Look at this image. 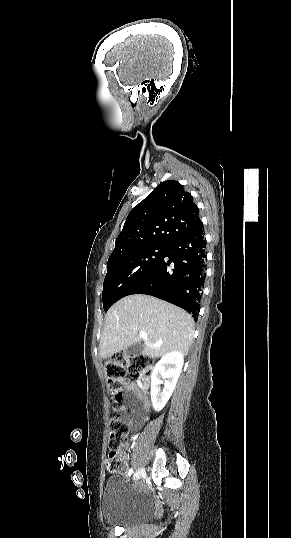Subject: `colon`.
I'll use <instances>...</instances> for the list:
<instances>
[{
	"label": "colon",
	"mask_w": 291,
	"mask_h": 538,
	"mask_svg": "<svg viewBox=\"0 0 291 538\" xmlns=\"http://www.w3.org/2000/svg\"><path fill=\"white\" fill-rule=\"evenodd\" d=\"M153 371L152 359L143 354L125 358L122 354H114L105 364L107 382L116 406L121 402L122 391L129 383L128 376L150 377ZM129 433V424L119 417L109 422V457L106 469L115 473L120 470L121 460L118 451Z\"/></svg>",
	"instance_id": "5ec220e1"
}]
</instances>
